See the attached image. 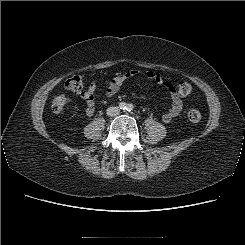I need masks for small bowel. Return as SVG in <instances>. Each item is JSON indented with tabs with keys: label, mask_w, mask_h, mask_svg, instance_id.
Listing matches in <instances>:
<instances>
[{
	"label": "small bowel",
	"mask_w": 245,
	"mask_h": 245,
	"mask_svg": "<svg viewBox=\"0 0 245 245\" xmlns=\"http://www.w3.org/2000/svg\"><path fill=\"white\" fill-rule=\"evenodd\" d=\"M137 74L138 71L133 69L128 72L114 76L106 89V96H114L126 80L135 77ZM146 76L148 79L154 80L158 84H160L169 94L170 106L168 110L163 114L162 120L165 123L171 122L175 117L180 114L183 109V100L180 94L176 91V88L170 82L164 80L160 76L156 75L154 72H147ZM95 92L96 83L92 82L88 86L87 90L81 93V97L86 104L85 112L87 116H93L95 113Z\"/></svg>",
	"instance_id": "c3829d8e"
}]
</instances>
